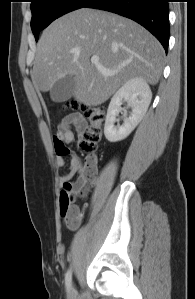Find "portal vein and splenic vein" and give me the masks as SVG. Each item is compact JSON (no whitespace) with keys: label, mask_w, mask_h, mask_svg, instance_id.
I'll use <instances>...</instances> for the list:
<instances>
[{"label":"portal vein and splenic vein","mask_w":195,"mask_h":299,"mask_svg":"<svg viewBox=\"0 0 195 299\" xmlns=\"http://www.w3.org/2000/svg\"><path fill=\"white\" fill-rule=\"evenodd\" d=\"M91 63L94 64L97 68H99L102 73H105V74H108V75H111L112 73L109 72L107 69L103 68L100 63H99V58L94 56L91 58Z\"/></svg>","instance_id":"portal-vein-and-splenic-vein-1"}]
</instances>
